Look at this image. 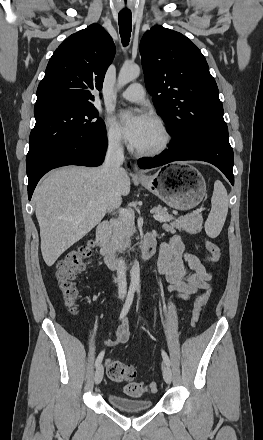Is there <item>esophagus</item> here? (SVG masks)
I'll return each instance as SVG.
<instances>
[{
    "mask_svg": "<svg viewBox=\"0 0 263 440\" xmlns=\"http://www.w3.org/2000/svg\"><path fill=\"white\" fill-rule=\"evenodd\" d=\"M133 176L136 178L143 177V173L138 169V167L136 165H134V168H133Z\"/></svg>",
    "mask_w": 263,
    "mask_h": 440,
    "instance_id": "esophagus-1",
    "label": "esophagus"
}]
</instances>
